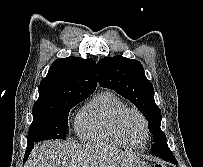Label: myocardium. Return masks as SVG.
<instances>
[{"mask_svg": "<svg viewBox=\"0 0 203 167\" xmlns=\"http://www.w3.org/2000/svg\"><path fill=\"white\" fill-rule=\"evenodd\" d=\"M130 112L135 113L141 119L143 126H144V132H145L144 141L139 145L133 144L132 142H130L121 129V121H122L123 117L127 113H130ZM114 129H115V132L117 133V135L124 142H126L130 147H133V148H141L142 146H144L147 143L149 135H150L149 122H148L146 116L136 107H124L123 109H121L115 117Z\"/></svg>", "mask_w": 203, "mask_h": 167, "instance_id": "1", "label": "myocardium"}]
</instances>
